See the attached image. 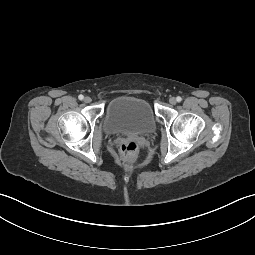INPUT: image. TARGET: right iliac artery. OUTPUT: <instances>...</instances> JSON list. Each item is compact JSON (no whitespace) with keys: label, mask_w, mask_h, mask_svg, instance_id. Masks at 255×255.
<instances>
[{"label":"right iliac artery","mask_w":255,"mask_h":255,"mask_svg":"<svg viewBox=\"0 0 255 255\" xmlns=\"http://www.w3.org/2000/svg\"><path fill=\"white\" fill-rule=\"evenodd\" d=\"M78 98H79V100H83L84 96L83 95H79Z\"/></svg>","instance_id":"1"}]
</instances>
